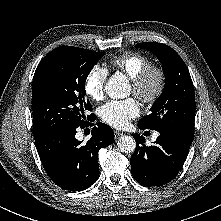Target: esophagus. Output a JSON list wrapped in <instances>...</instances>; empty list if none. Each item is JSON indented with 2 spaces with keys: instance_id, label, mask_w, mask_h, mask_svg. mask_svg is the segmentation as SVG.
<instances>
[{
  "instance_id": "esophagus-1",
  "label": "esophagus",
  "mask_w": 221,
  "mask_h": 221,
  "mask_svg": "<svg viewBox=\"0 0 221 221\" xmlns=\"http://www.w3.org/2000/svg\"><path fill=\"white\" fill-rule=\"evenodd\" d=\"M114 133H115V137H116V138L121 137V136L124 135L123 132H121V131H117V130H116Z\"/></svg>"
}]
</instances>
